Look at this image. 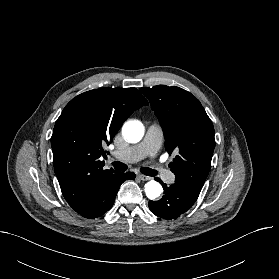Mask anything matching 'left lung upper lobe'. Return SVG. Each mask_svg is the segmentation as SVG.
<instances>
[{
	"label": "left lung upper lobe",
	"instance_id": "obj_1",
	"mask_svg": "<svg viewBox=\"0 0 279 279\" xmlns=\"http://www.w3.org/2000/svg\"><path fill=\"white\" fill-rule=\"evenodd\" d=\"M149 99L165 136V149L177 156L170 163L175 183L201 191L211 167L214 127L199 100L179 87L140 88Z\"/></svg>",
	"mask_w": 279,
	"mask_h": 279
}]
</instances>
